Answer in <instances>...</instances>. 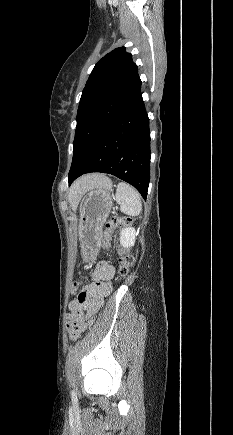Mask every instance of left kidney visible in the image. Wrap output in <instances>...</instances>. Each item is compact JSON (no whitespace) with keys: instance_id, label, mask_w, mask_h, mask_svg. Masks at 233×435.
Instances as JSON below:
<instances>
[{"instance_id":"obj_1","label":"left kidney","mask_w":233,"mask_h":435,"mask_svg":"<svg viewBox=\"0 0 233 435\" xmlns=\"http://www.w3.org/2000/svg\"><path fill=\"white\" fill-rule=\"evenodd\" d=\"M135 236H136V231L134 228L128 227L122 229L120 232V244L124 248L129 249L130 247L134 246Z\"/></svg>"}]
</instances>
